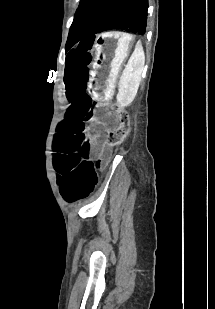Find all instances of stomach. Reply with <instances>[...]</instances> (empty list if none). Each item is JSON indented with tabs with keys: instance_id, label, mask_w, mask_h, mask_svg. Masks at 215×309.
Here are the masks:
<instances>
[{
	"instance_id": "1",
	"label": "stomach",
	"mask_w": 215,
	"mask_h": 309,
	"mask_svg": "<svg viewBox=\"0 0 215 309\" xmlns=\"http://www.w3.org/2000/svg\"><path fill=\"white\" fill-rule=\"evenodd\" d=\"M134 44V36L124 31L103 32L96 37L95 59L88 83L94 98L106 100L111 96L121 65Z\"/></svg>"
}]
</instances>
